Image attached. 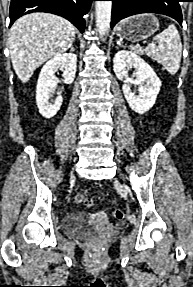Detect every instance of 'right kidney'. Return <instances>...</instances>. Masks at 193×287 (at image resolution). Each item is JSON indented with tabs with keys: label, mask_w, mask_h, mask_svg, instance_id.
<instances>
[{
	"label": "right kidney",
	"mask_w": 193,
	"mask_h": 287,
	"mask_svg": "<svg viewBox=\"0 0 193 287\" xmlns=\"http://www.w3.org/2000/svg\"><path fill=\"white\" fill-rule=\"evenodd\" d=\"M77 66V56L71 53L59 54L52 57L41 69L37 87L36 103L40 114L50 119L59 111L63 98L59 95L55 102L50 103L51 92L56 87L55 73L63 71L64 83L71 84L74 81Z\"/></svg>",
	"instance_id": "right-kidney-1"
}]
</instances>
